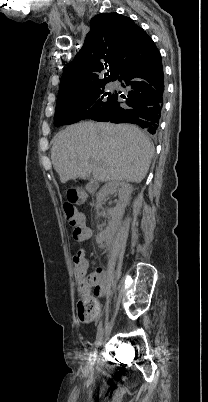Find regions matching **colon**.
<instances>
[{"mask_svg":"<svg viewBox=\"0 0 208 402\" xmlns=\"http://www.w3.org/2000/svg\"><path fill=\"white\" fill-rule=\"evenodd\" d=\"M67 195V194H66ZM64 213L67 223L71 226V240L74 242L81 241L82 238H88V229H83L82 215L77 211L73 204L64 205ZM86 250L81 248L78 253H72L71 259L74 263H83ZM96 280L94 277H87L85 282H80L77 293L78 305L80 306V314L83 319L101 314V300L94 299L96 293Z\"/></svg>","mask_w":208,"mask_h":402,"instance_id":"1","label":"colon"}]
</instances>
